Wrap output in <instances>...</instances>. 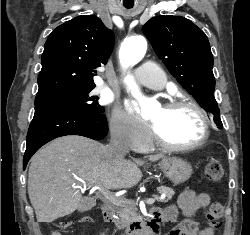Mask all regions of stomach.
Returning a JSON list of instances; mask_svg holds the SVG:
<instances>
[{"mask_svg":"<svg viewBox=\"0 0 250 235\" xmlns=\"http://www.w3.org/2000/svg\"><path fill=\"white\" fill-rule=\"evenodd\" d=\"M158 167L174 184L186 182L192 175V166L177 157L163 158Z\"/></svg>","mask_w":250,"mask_h":235,"instance_id":"stomach-1","label":"stomach"}]
</instances>
